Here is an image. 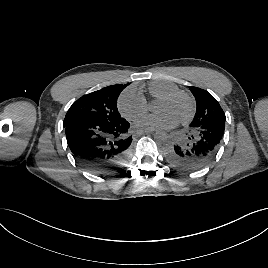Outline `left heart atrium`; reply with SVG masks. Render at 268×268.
Returning a JSON list of instances; mask_svg holds the SVG:
<instances>
[{"mask_svg": "<svg viewBox=\"0 0 268 268\" xmlns=\"http://www.w3.org/2000/svg\"><path fill=\"white\" fill-rule=\"evenodd\" d=\"M176 122L177 121L172 119L170 116L164 114H159L154 118H152V123L154 125L160 126L161 128L165 129L173 127L176 124Z\"/></svg>", "mask_w": 268, "mask_h": 268, "instance_id": "obj_1", "label": "left heart atrium"}]
</instances>
